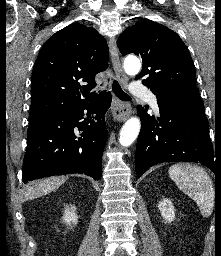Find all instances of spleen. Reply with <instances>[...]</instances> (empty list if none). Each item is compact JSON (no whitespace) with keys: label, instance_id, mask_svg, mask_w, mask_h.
Wrapping results in <instances>:
<instances>
[{"label":"spleen","instance_id":"3e777b00","mask_svg":"<svg viewBox=\"0 0 221 256\" xmlns=\"http://www.w3.org/2000/svg\"><path fill=\"white\" fill-rule=\"evenodd\" d=\"M169 176L181 191L196 202L204 217L211 215L215 189L211 178L202 168L178 163L169 168Z\"/></svg>","mask_w":221,"mask_h":256}]
</instances>
